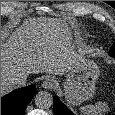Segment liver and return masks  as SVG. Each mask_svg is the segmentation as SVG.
Masks as SVG:
<instances>
[{
    "mask_svg": "<svg viewBox=\"0 0 115 115\" xmlns=\"http://www.w3.org/2000/svg\"><path fill=\"white\" fill-rule=\"evenodd\" d=\"M68 28L54 18H31L13 33L1 34V97L15 88L20 73H68L82 57Z\"/></svg>",
    "mask_w": 115,
    "mask_h": 115,
    "instance_id": "liver-1",
    "label": "liver"
}]
</instances>
